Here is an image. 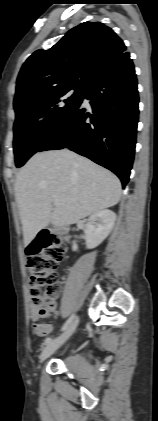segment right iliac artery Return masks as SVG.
Here are the masks:
<instances>
[{"label":"right iliac artery","instance_id":"1","mask_svg":"<svg viewBox=\"0 0 158 421\" xmlns=\"http://www.w3.org/2000/svg\"><path fill=\"white\" fill-rule=\"evenodd\" d=\"M74 319V314H72L68 320L65 322V324L62 327V331H65L68 326L71 324L72 320ZM52 340V338L48 337L45 339L44 344H48L50 341Z\"/></svg>","mask_w":158,"mask_h":421}]
</instances>
